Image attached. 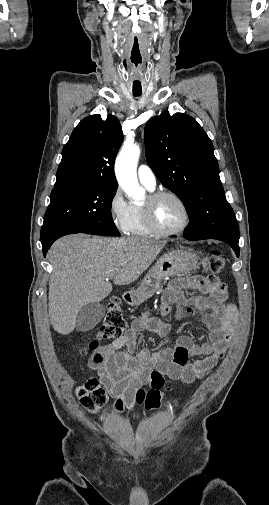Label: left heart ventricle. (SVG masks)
I'll return each instance as SVG.
<instances>
[{
	"label": "left heart ventricle",
	"instance_id": "obj_1",
	"mask_svg": "<svg viewBox=\"0 0 269 505\" xmlns=\"http://www.w3.org/2000/svg\"><path fill=\"white\" fill-rule=\"evenodd\" d=\"M154 218L162 229L174 230L184 223L185 213L181 205L175 199L171 197H162L154 206Z\"/></svg>",
	"mask_w": 269,
	"mask_h": 505
}]
</instances>
